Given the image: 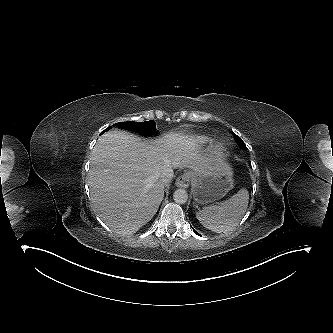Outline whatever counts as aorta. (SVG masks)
Returning <instances> with one entry per match:
<instances>
[{"instance_id":"1","label":"aorta","mask_w":333,"mask_h":333,"mask_svg":"<svg viewBox=\"0 0 333 333\" xmlns=\"http://www.w3.org/2000/svg\"><path fill=\"white\" fill-rule=\"evenodd\" d=\"M173 199L178 204H185L188 200V194L185 189H177L173 194Z\"/></svg>"}]
</instances>
